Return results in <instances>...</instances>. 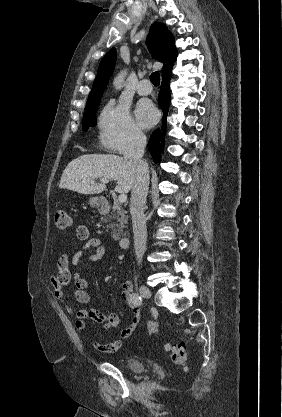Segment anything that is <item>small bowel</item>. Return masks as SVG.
<instances>
[{
	"mask_svg": "<svg viewBox=\"0 0 282 417\" xmlns=\"http://www.w3.org/2000/svg\"><path fill=\"white\" fill-rule=\"evenodd\" d=\"M76 236L79 240L83 241V245L70 257L67 254H62L57 260V271L51 276L54 297L74 316L75 327L79 332L86 331V319L101 323L103 331H111L115 329L120 322V318L116 313H104L97 309H81L75 311L68 301L66 288L71 280H73L75 284L76 299L83 304L88 303L89 301V296L85 291L88 285L86 279L78 270L72 271L71 267L77 268L84 256H86L89 261L96 262L102 259L107 253L106 245L100 238L91 236L87 226L78 225L76 227ZM88 250H92L93 253L86 255ZM120 288L124 300L130 305L132 318L130 323L121 329L118 337L110 342L101 343L96 340H91L92 347L101 353L111 354L118 351L121 348L123 341L132 335L140 322V310L131 302L133 293L132 283L130 281H124L121 283Z\"/></svg>",
	"mask_w": 282,
	"mask_h": 417,
	"instance_id": "small-bowel-1",
	"label": "small bowel"
}]
</instances>
